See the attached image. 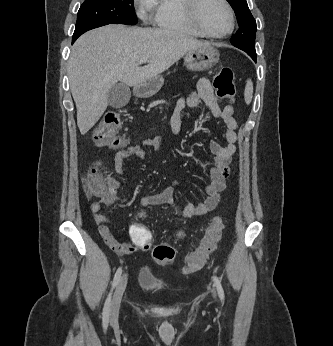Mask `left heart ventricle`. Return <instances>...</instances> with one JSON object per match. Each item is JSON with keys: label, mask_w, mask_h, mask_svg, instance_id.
I'll return each mask as SVG.
<instances>
[{"label": "left heart ventricle", "mask_w": 333, "mask_h": 346, "mask_svg": "<svg viewBox=\"0 0 333 346\" xmlns=\"http://www.w3.org/2000/svg\"><path fill=\"white\" fill-rule=\"evenodd\" d=\"M199 16L204 28L214 34H221L230 26L228 11L220 0H204Z\"/></svg>", "instance_id": "left-heart-ventricle-1"}]
</instances>
